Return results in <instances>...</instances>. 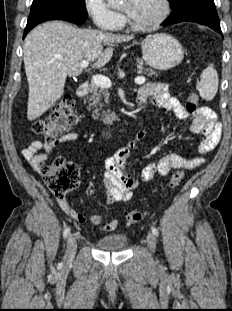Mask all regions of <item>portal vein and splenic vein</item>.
Segmentation results:
<instances>
[{
  "label": "portal vein and splenic vein",
  "instance_id": "18ae733b",
  "mask_svg": "<svg viewBox=\"0 0 232 311\" xmlns=\"http://www.w3.org/2000/svg\"><path fill=\"white\" fill-rule=\"evenodd\" d=\"M89 65L88 60H82L80 62V67L81 68H86ZM92 81L102 87V88H110L112 86L111 80L108 77L102 76V75H95L92 77ZM135 83L138 85L144 84L145 83V77L143 76H138L134 79Z\"/></svg>",
  "mask_w": 232,
  "mask_h": 311
}]
</instances>
